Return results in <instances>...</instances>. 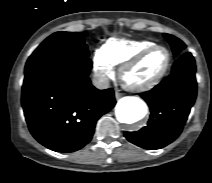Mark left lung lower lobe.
I'll list each match as a JSON object with an SVG mask.
<instances>
[{"label":"left lung lower lobe","mask_w":212,"mask_h":183,"mask_svg":"<svg viewBox=\"0 0 212 183\" xmlns=\"http://www.w3.org/2000/svg\"><path fill=\"white\" fill-rule=\"evenodd\" d=\"M196 66L191 53H183L172 66L171 74L141 97L150 107L146 127L125 132L133 144L155 150L173 142L181 133L197 94Z\"/></svg>","instance_id":"left-lung-lower-lobe-1"}]
</instances>
